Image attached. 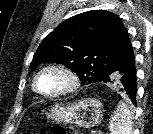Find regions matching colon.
<instances>
[{"label":"colon","mask_w":153,"mask_h":134,"mask_svg":"<svg viewBox=\"0 0 153 134\" xmlns=\"http://www.w3.org/2000/svg\"><path fill=\"white\" fill-rule=\"evenodd\" d=\"M33 134V133H26ZM51 134H80L74 128H65L63 126L55 125L51 128Z\"/></svg>","instance_id":"1"}]
</instances>
